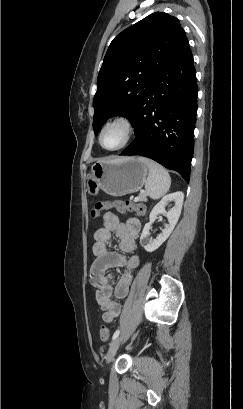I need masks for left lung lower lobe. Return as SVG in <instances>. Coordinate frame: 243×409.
<instances>
[{"instance_id":"0a47b994","label":"left lung lower lobe","mask_w":243,"mask_h":409,"mask_svg":"<svg viewBox=\"0 0 243 409\" xmlns=\"http://www.w3.org/2000/svg\"><path fill=\"white\" fill-rule=\"evenodd\" d=\"M193 56L186 39L151 84L132 126L135 140L120 155H141L189 182L197 113Z\"/></svg>"}]
</instances>
